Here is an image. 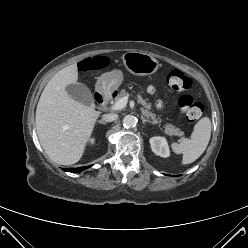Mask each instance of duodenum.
<instances>
[{"mask_svg":"<svg viewBox=\"0 0 248 248\" xmlns=\"http://www.w3.org/2000/svg\"><path fill=\"white\" fill-rule=\"evenodd\" d=\"M110 97H111L110 94H104V93H101V92H97L95 94V100L98 103H105V102H107L110 99Z\"/></svg>","mask_w":248,"mask_h":248,"instance_id":"duodenum-1","label":"duodenum"}]
</instances>
